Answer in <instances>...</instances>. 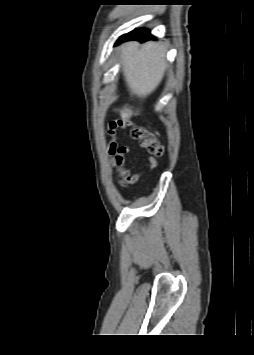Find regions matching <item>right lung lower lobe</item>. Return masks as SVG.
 I'll list each match as a JSON object with an SVG mask.
<instances>
[{"mask_svg": "<svg viewBox=\"0 0 254 355\" xmlns=\"http://www.w3.org/2000/svg\"><path fill=\"white\" fill-rule=\"evenodd\" d=\"M154 39V36L145 29L134 30L128 34L121 36L116 44H119L128 40H138L140 42H145L147 40Z\"/></svg>", "mask_w": 254, "mask_h": 355, "instance_id": "98d812e1", "label": "right lung lower lobe"}]
</instances>
